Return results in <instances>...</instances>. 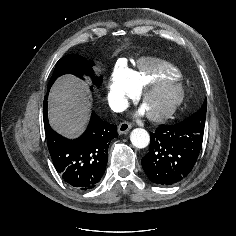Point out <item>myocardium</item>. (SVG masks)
Listing matches in <instances>:
<instances>
[{
    "label": "myocardium",
    "mask_w": 236,
    "mask_h": 236,
    "mask_svg": "<svg viewBox=\"0 0 236 236\" xmlns=\"http://www.w3.org/2000/svg\"><path fill=\"white\" fill-rule=\"evenodd\" d=\"M167 89L170 92L166 106L160 111H147V116L154 121H163L171 117L185 97V90L179 78L165 77L144 85L139 90V99L144 106L148 96L156 90Z\"/></svg>",
    "instance_id": "1"
}]
</instances>
